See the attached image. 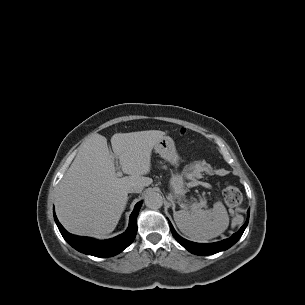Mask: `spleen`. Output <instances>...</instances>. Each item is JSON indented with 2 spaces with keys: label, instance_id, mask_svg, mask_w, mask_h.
<instances>
[{
  "label": "spleen",
  "instance_id": "obj_1",
  "mask_svg": "<svg viewBox=\"0 0 305 305\" xmlns=\"http://www.w3.org/2000/svg\"><path fill=\"white\" fill-rule=\"evenodd\" d=\"M174 220L179 230L196 242H206L222 234L229 225V216L222 202H215L211 210L193 203L190 210L175 211Z\"/></svg>",
  "mask_w": 305,
  "mask_h": 305
}]
</instances>
